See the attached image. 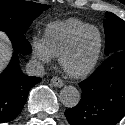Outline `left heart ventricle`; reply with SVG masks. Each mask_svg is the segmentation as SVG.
Masks as SVG:
<instances>
[{
    "label": "left heart ventricle",
    "mask_w": 125,
    "mask_h": 125,
    "mask_svg": "<svg viewBox=\"0 0 125 125\" xmlns=\"http://www.w3.org/2000/svg\"><path fill=\"white\" fill-rule=\"evenodd\" d=\"M99 47V35L95 30L85 31L66 57V66L74 71L85 68L94 58Z\"/></svg>",
    "instance_id": "obj_1"
}]
</instances>
